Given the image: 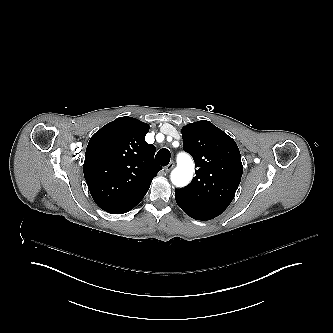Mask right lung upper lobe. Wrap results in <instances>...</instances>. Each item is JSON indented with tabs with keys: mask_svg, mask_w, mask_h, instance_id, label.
<instances>
[{
	"mask_svg": "<svg viewBox=\"0 0 333 333\" xmlns=\"http://www.w3.org/2000/svg\"><path fill=\"white\" fill-rule=\"evenodd\" d=\"M148 131L138 119L119 117L91 137L83 171L96 204L112 201L126 183L150 185L162 169L154 161V145L145 141Z\"/></svg>",
	"mask_w": 333,
	"mask_h": 333,
	"instance_id": "right-lung-upper-lobe-1",
	"label": "right lung upper lobe"
}]
</instances>
